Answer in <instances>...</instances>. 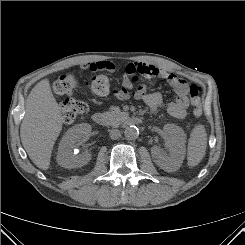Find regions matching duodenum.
Listing matches in <instances>:
<instances>
[{
  "instance_id": "duodenum-1",
  "label": "duodenum",
  "mask_w": 245,
  "mask_h": 245,
  "mask_svg": "<svg viewBox=\"0 0 245 245\" xmlns=\"http://www.w3.org/2000/svg\"><path fill=\"white\" fill-rule=\"evenodd\" d=\"M92 120L94 123L100 126H104L107 123L106 117L104 116V114L100 112L94 113L92 115ZM125 122L130 125H139L142 122V120L140 117H137V116H127L125 118Z\"/></svg>"
}]
</instances>
